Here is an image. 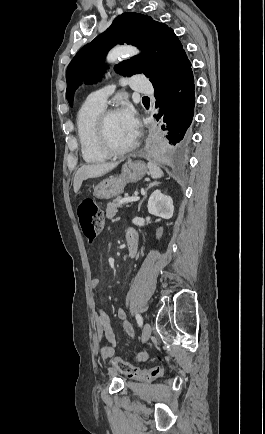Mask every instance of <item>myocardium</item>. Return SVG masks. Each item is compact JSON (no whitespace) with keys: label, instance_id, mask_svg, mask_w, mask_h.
<instances>
[{"label":"myocardium","instance_id":"myocardium-1","mask_svg":"<svg viewBox=\"0 0 265 434\" xmlns=\"http://www.w3.org/2000/svg\"><path fill=\"white\" fill-rule=\"evenodd\" d=\"M117 114V111L115 109H109L104 110V112L101 114L98 120V138L101 145L102 150L108 157H124L130 153H132L138 146V140H135V142L128 148L125 149H117L114 146H112L109 138V128H108V122L109 119Z\"/></svg>","mask_w":265,"mask_h":434}]
</instances>
